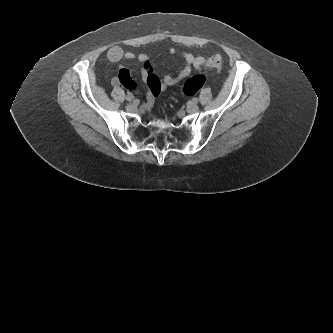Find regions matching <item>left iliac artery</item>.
<instances>
[{
    "mask_svg": "<svg viewBox=\"0 0 333 333\" xmlns=\"http://www.w3.org/2000/svg\"><path fill=\"white\" fill-rule=\"evenodd\" d=\"M192 101L193 103H198V98H193Z\"/></svg>",
    "mask_w": 333,
    "mask_h": 333,
    "instance_id": "left-iliac-artery-1",
    "label": "left iliac artery"
}]
</instances>
